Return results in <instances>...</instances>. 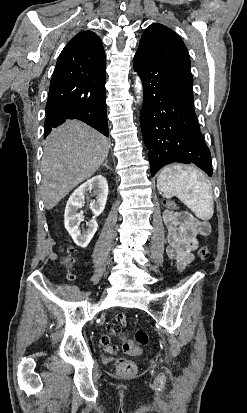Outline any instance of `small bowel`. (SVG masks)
<instances>
[{
	"instance_id": "small-bowel-1",
	"label": "small bowel",
	"mask_w": 247,
	"mask_h": 413,
	"mask_svg": "<svg viewBox=\"0 0 247 413\" xmlns=\"http://www.w3.org/2000/svg\"><path fill=\"white\" fill-rule=\"evenodd\" d=\"M164 222L168 230V255L176 262L178 271L183 273L193 260L192 252L198 247V238L207 236L210 233V226L208 222L193 217L189 222L179 225L176 222V214L172 211L165 212ZM125 316L117 315L116 322H107L105 329L109 331L108 334H101L99 337L101 347L109 349L111 355L120 353L119 347L112 346L111 336L112 331H119L121 324H126Z\"/></svg>"
}]
</instances>
